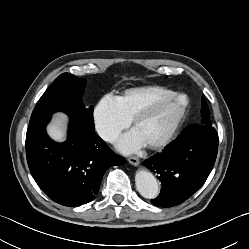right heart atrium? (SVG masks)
Instances as JSON below:
<instances>
[{"label":"right heart atrium","instance_id":"right-heart-atrium-1","mask_svg":"<svg viewBox=\"0 0 249 249\" xmlns=\"http://www.w3.org/2000/svg\"><path fill=\"white\" fill-rule=\"evenodd\" d=\"M93 118L96 132L108 143L114 142L130 124V120L123 114L112 95H106L99 101Z\"/></svg>","mask_w":249,"mask_h":249}]
</instances>
